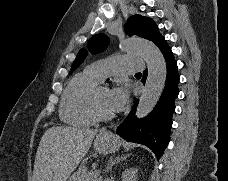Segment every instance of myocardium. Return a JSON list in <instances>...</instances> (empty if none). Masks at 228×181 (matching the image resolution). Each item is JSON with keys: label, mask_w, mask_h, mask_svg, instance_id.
<instances>
[{"label": "myocardium", "mask_w": 228, "mask_h": 181, "mask_svg": "<svg viewBox=\"0 0 228 181\" xmlns=\"http://www.w3.org/2000/svg\"><path fill=\"white\" fill-rule=\"evenodd\" d=\"M101 81L103 83V80ZM103 87L104 85L102 84L100 87L95 89L92 101V109L96 118H98L99 120H110L111 118H113L114 115L111 112L104 111L99 103L98 93Z\"/></svg>", "instance_id": "f54148a6"}]
</instances>
